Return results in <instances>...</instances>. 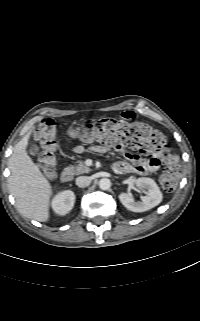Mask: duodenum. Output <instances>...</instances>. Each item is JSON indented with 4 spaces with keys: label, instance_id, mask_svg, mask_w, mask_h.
Instances as JSON below:
<instances>
[{
    "label": "duodenum",
    "instance_id": "1",
    "mask_svg": "<svg viewBox=\"0 0 200 321\" xmlns=\"http://www.w3.org/2000/svg\"><path fill=\"white\" fill-rule=\"evenodd\" d=\"M72 177L73 171L69 165H66L61 172L60 178L63 182H68L72 179Z\"/></svg>",
    "mask_w": 200,
    "mask_h": 321
}]
</instances>
